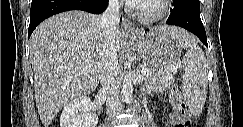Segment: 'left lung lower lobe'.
Instances as JSON below:
<instances>
[{
    "instance_id": "obj_1",
    "label": "left lung lower lobe",
    "mask_w": 243,
    "mask_h": 127,
    "mask_svg": "<svg viewBox=\"0 0 243 127\" xmlns=\"http://www.w3.org/2000/svg\"><path fill=\"white\" fill-rule=\"evenodd\" d=\"M166 23L187 29L195 34L208 47L205 28L200 18L199 0H176Z\"/></svg>"
}]
</instances>
